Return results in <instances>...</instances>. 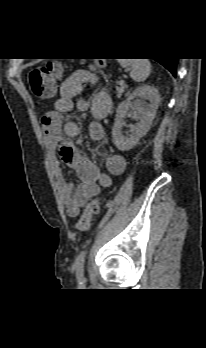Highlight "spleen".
<instances>
[{
  "instance_id": "1",
  "label": "spleen",
  "mask_w": 206,
  "mask_h": 348,
  "mask_svg": "<svg viewBox=\"0 0 206 348\" xmlns=\"http://www.w3.org/2000/svg\"><path fill=\"white\" fill-rule=\"evenodd\" d=\"M122 67L131 69L130 77L136 82H143L151 72V64L148 59H119Z\"/></svg>"
}]
</instances>
